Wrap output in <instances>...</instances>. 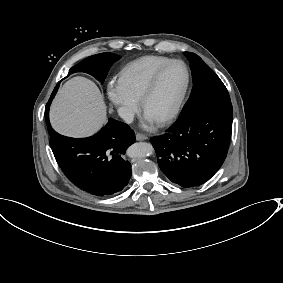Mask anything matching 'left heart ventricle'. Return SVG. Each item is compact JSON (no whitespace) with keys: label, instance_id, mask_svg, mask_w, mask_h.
Returning <instances> with one entry per match:
<instances>
[{"label":"left heart ventricle","instance_id":"obj_1","mask_svg":"<svg viewBox=\"0 0 283 283\" xmlns=\"http://www.w3.org/2000/svg\"><path fill=\"white\" fill-rule=\"evenodd\" d=\"M186 73L181 64H173L160 76L143 112L156 121L168 114L176 104L185 85Z\"/></svg>","mask_w":283,"mask_h":283}]
</instances>
